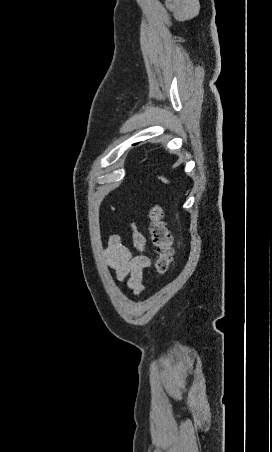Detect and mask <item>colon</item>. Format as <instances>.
Listing matches in <instances>:
<instances>
[{
  "label": "colon",
  "mask_w": 272,
  "mask_h": 452,
  "mask_svg": "<svg viewBox=\"0 0 272 452\" xmlns=\"http://www.w3.org/2000/svg\"><path fill=\"white\" fill-rule=\"evenodd\" d=\"M150 235L156 248L155 269L158 275L166 274L173 256L172 236L166 227L163 210L160 205L153 204L149 209Z\"/></svg>",
  "instance_id": "colon-1"
}]
</instances>
